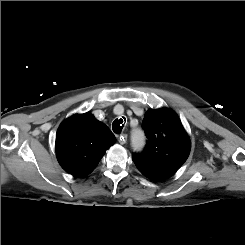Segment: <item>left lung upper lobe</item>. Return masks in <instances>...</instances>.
<instances>
[{"mask_svg":"<svg viewBox=\"0 0 245 245\" xmlns=\"http://www.w3.org/2000/svg\"><path fill=\"white\" fill-rule=\"evenodd\" d=\"M143 128L147 145L142 153L132 154L139 171L154 181L173 176L187 160L191 142L177 114L168 109L146 112Z\"/></svg>","mask_w":245,"mask_h":245,"instance_id":"left-lung-upper-lobe-1","label":"left lung upper lobe"}]
</instances>
